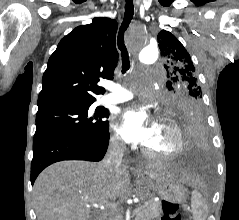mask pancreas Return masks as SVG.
I'll use <instances>...</instances> for the list:
<instances>
[{
	"mask_svg": "<svg viewBox=\"0 0 239 220\" xmlns=\"http://www.w3.org/2000/svg\"><path fill=\"white\" fill-rule=\"evenodd\" d=\"M137 209L138 211L134 213L135 220H152L159 218L163 214L161 203L155 201L146 202L138 206Z\"/></svg>",
	"mask_w": 239,
	"mask_h": 220,
	"instance_id": "pancreas-1",
	"label": "pancreas"
}]
</instances>
